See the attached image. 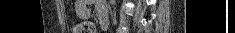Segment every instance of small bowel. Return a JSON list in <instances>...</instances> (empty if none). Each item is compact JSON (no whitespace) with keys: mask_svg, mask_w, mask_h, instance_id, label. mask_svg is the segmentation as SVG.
Masks as SVG:
<instances>
[{"mask_svg":"<svg viewBox=\"0 0 235 33\" xmlns=\"http://www.w3.org/2000/svg\"><path fill=\"white\" fill-rule=\"evenodd\" d=\"M88 2L87 1H78L76 4V9L78 14H83L88 10ZM95 10L100 17L101 14H106L105 6L102 2L96 1L95 4Z\"/></svg>","mask_w":235,"mask_h":33,"instance_id":"small-bowel-1","label":"small bowel"}]
</instances>
